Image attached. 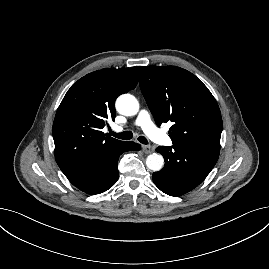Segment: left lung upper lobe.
Listing matches in <instances>:
<instances>
[{"instance_id":"left-lung-upper-lobe-1","label":"left lung upper lobe","mask_w":269,"mask_h":269,"mask_svg":"<svg viewBox=\"0 0 269 269\" xmlns=\"http://www.w3.org/2000/svg\"><path fill=\"white\" fill-rule=\"evenodd\" d=\"M140 88L158 126L171 121L173 145L220 150L222 118L208 88L189 71L175 66H144Z\"/></svg>"}]
</instances>
